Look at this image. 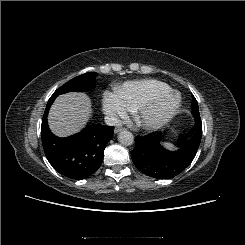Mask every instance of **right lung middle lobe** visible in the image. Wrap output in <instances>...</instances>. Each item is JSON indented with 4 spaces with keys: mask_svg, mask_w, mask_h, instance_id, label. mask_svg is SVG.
I'll return each mask as SVG.
<instances>
[{
    "mask_svg": "<svg viewBox=\"0 0 245 245\" xmlns=\"http://www.w3.org/2000/svg\"><path fill=\"white\" fill-rule=\"evenodd\" d=\"M95 76H96V72H88L71 79L63 86L58 88L51 96V99H55L58 95L71 91L84 92L89 90L95 84Z\"/></svg>",
    "mask_w": 245,
    "mask_h": 245,
    "instance_id": "obj_1",
    "label": "right lung middle lobe"
}]
</instances>
